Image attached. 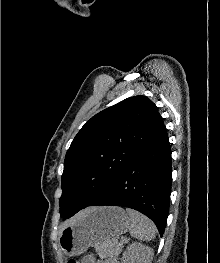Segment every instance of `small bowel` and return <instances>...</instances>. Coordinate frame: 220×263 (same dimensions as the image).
I'll list each match as a JSON object with an SVG mask.
<instances>
[{"mask_svg":"<svg viewBox=\"0 0 220 263\" xmlns=\"http://www.w3.org/2000/svg\"><path fill=\"white\" fill-rule=\"evenodd\" d=\"M82 263H117V262H113V261H110V262L97 261L93 256L89 255V256H86L84 258Z\"/></svg>","mask_w":220,"mask_h":263,"instance_id":"1","label":"small bowel"}]
</instances>
